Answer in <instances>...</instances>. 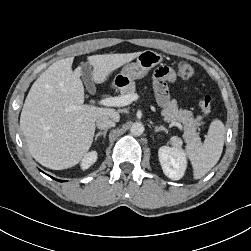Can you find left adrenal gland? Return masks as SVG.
Segmentation results:
<instances>
[{
    "mask_svg": "<svg viewBox=\"0 0 251 251\" xmlns=\"http://www.w3.org/2000/svg\"><path fill=\"white\" fill-rule=\"evenodd\" d=\"M159 131H164V132H167V129L164 128L163 126H155L154 127V132H159Z\"/></svg>",
    "mask_w": 251,
    "mask_h": 251,
    "instance_id": "1",
    "label": "left adrenal gland"
}]
</instances>
